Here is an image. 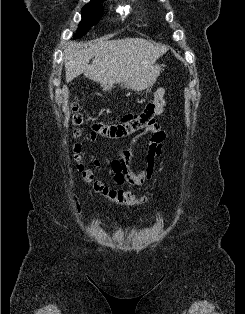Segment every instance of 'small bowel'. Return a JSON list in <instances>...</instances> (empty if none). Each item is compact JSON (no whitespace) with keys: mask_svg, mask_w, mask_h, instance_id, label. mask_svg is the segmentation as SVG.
I'll return each mask as SVG.
<instances>
[{"mask_svg":"<svg viewBox=\"0 0 245 314\" xmlns=\"http://www.w3.org/2000/svg\"><path fill=\"white\" fill-rule=\"evenodd\" d=\"M165 94V88L159 87L142 111L129 113L111 123L93 125L89 134V141L92 143L97 140L98 135L114 136L137 132L131 149L118 152L110 162V169L116 184L138 187L153 177L155 158L161 154L166 137L159 125V118L165 105ZM146 137H149L146 169H140L136 166L137 156L134 149Z\"/></svg>","mask_w":245,"mask_h":314,"instance_id":"obj_1","label":"small bowel"}]
</instances>
